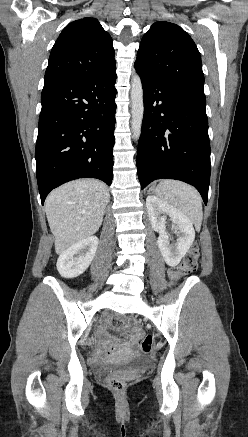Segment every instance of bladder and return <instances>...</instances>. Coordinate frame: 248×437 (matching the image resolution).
I'll return each mask as SVG.
<instances>
[{"label":"bladder","mask_w":248,"mask_h":437,"mask_svg":"<svg viewBox=\"0 0 248 437\" xmlns=\"http://www.w3.org/2000/svg\"><path fill=\"white\" fill-rule=\"evenodd\" d=\"M148 364H149L148 359L139 357V358L132 359L128 362L106 363L100 365L98 367V371L100 373H107L112 375H125V374H132L141 371L142 369L146 368Z\"/></svg>","instance_id":"obj_1"}]
</instances>
